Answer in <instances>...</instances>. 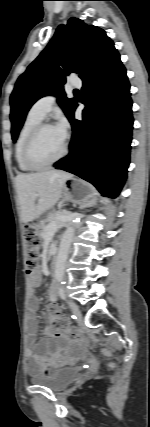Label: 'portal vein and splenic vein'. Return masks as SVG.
Segmentation results:
<instances>
[{
    "label": "portal vein and splenic vein",
    "mask_w": 150,
    "mask_h": 427,
    "mask_svg": "<svg viewBox=\"0 0 150 427\" xmlns=\"http://www.w3.org/2000/svg\"><path fill=\"white\" fill-rule=\"evenodd\" d=\"M68 217H69V218H72V217H73V214H72V213H68Z\"/></svg>",
    "instance_id": "portal-vein-and-splenic-vein-1"
}]
</instances>
